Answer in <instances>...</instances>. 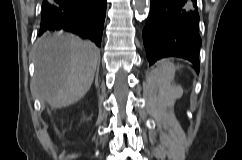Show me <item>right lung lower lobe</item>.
Here are the masks:
<instances>
[{
    "label": "right lung lower lobe",
    "mask_w": 242,
    "mask_h": 160,
    "mask_svg": "<svg viewBox=\"0 0 242 160\" xmlns=\"http://www.w3.org/2000/svg\"><path fill=\"white\" fill-rule=\"evenodd\" d=\"M107 0H43L39 35L67 31L100 47Z\"/></svg>",
    "instance_id": "right-lung-lower-lobe-1"
}]
</instances>
